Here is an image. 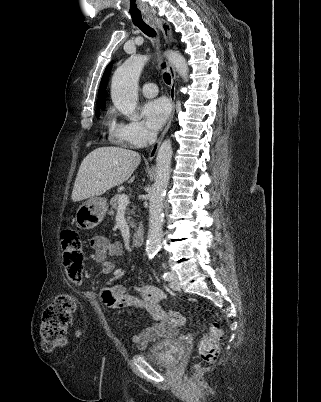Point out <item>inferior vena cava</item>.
<instances>
[{"mask_svg": "<svg viewBox=\"0 0 321 402\" xmlns=\"http://www.w3.org/2000/svg\"><path fill=\"white\" fill-rule=\"evenodd\" d=\"M157 133L155 131H150L148 134V142L149 144H153L156 141Z\"/></svg>", "mask_w": 321, "mask_h": 402, "instance_id": "inferior-vena-cava-1", "label": "inferior vena cava"}]
</instances>
